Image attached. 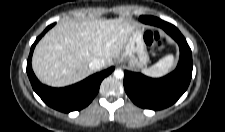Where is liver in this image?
<instances>
[{
  "mask_svg": "<svg viewBox=\"0 0 225 132\" xmlns=\"http://www.w3.org/2000/svg\"><path fill=\"white\" fill-rule=\"evenodd\" d=\"M137 24L129 18L66 20L48 31L37 44L32 68L37 78L52 87L83 80L94 71L89 63L101 58L105 67L123 51Z\"/></svg>",
  "mask_w": 225,
  "mask_h": 132,
  "instance_id": "obj_1",
  "label": "liver"
}]
</instances>
